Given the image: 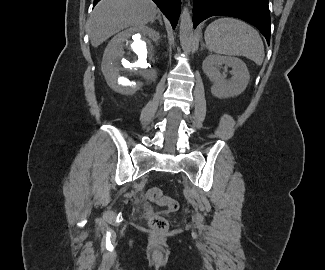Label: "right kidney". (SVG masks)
I'll use <instances>...</instances> for the list:
<instances>
[{
  "label": "right kidney",
  "instance_id": "right-kidney-1",
  "mask_svg": "<svg viewBox=\"0 0 325 270\" xmlns=\"http://www.w3.org/2000/svg\"><path fill=\"white\" fill-rule=\"evenodd\" d=\"M159 37L158 32L144 26L129 28L111 39L104 51L101 69L114 91L132 95L155 77L156 68L151 66L156 53L153 42ZM125 42L128 52L124 51Z\"/></svg>",
  "mask_w": 325,
  "mask_h": 270
}]
</instances>
